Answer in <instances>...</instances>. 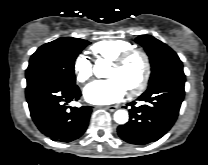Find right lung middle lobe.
<instances>
[{"label": "right lung middle lobe", "mask_w": 208, "mask_h": 165, "mask_svg": "<svg viewBox=\"0 0 208 165\" xmlns=\"http://www.w3.org/2000/svg\"><path fill=\"white\" fill-rule=\"evenodd\" d=\"M88 44L86 40L64 37L42 45L30 58L26 88L42 81L75 85V59Z\"/></svg>", "instance_id": "dd1d6c3e"}]
</instances>
